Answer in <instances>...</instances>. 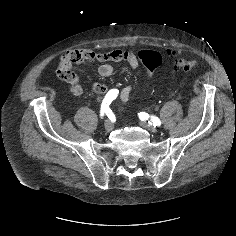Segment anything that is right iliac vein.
Returning a JSON list of instances; mask_svg holds the SVG:
<instances>
[{"label":"right iliac vein","instance_id":"1","mask_svg":"<svg viewBox=\"0 0 236 236\" xmlns=\"http://www.w3.org/2000/svg\"><path fill=\"white\" fill-rule=\"evenodd\" d=\"M104 128L107 132H110L114 128V124L111 120L107 119L104 123Z\"/></svg>","mask_w":236,"mask_h":236}]
</instances>
